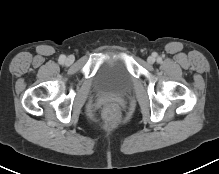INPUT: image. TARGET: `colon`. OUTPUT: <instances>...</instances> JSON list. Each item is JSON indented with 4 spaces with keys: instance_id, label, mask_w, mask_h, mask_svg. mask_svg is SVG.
Here are the masks:
<instances>
[{
    "instance_id": "obj_1",
    "label": "colon",
    "mask_w": 219,
    "mask_h": 174,
    "mask_svg": "<svg viewBox=\"0 0 219 174\" xmlns=\"http://www.w3.org/2000/svg\"><path fill=\"white\" fill-rule=\"evenodd\" d=\"M103 117L108 123H116L120 118V109L115 103H108L103 109Z\"/></svg>"
}]
</instances>
